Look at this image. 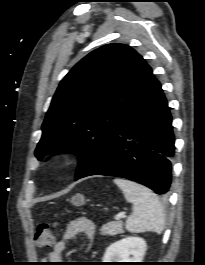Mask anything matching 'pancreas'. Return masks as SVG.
I'll list each match as a JSON object with an SVG mask.
<instances>
[{
	"mask_svg": "<svg viewBox=\"0 0 205 265\" xmlns=\"http://www.w3.org/2000/svg\"><path fill=\"white\" fill-rule=\"evenodd\" d=\"M101 233L106 236H114L123 233L122 221L108 222L102 225L100 229Z\"/></svg>",
	"mask_w": 205,
	"mask_h": 265,
	"instance_id": "pancreas-1",
	"label": "pancreas"
}]
</instances>
